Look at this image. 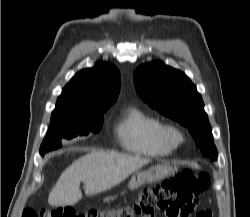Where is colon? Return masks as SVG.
<instances>
[{"label": "colon", "instance_id": "1", "mask_svg": "<svg viewBox=\"0 0 250 217\" xmlns=\"http://www.w3.org/2000/svg\"><path fill=\"white\" fill-rule=\"evenodd\" d=\"M209 184L207 173L184 170L160 184L144 188L129 208L109 207L79 214L69 208H53L40 213L25 209L22 217H154L155 212L165 217H183L196 208ZM195 217H211V212L200 210Z\"/></svg>", "mask_w": 250, "mask_h": 217}]
</instances>
